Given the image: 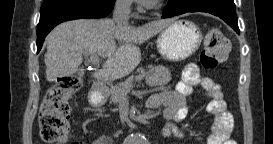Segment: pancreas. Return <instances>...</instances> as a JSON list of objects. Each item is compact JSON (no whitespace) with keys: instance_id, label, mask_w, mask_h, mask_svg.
<instances>
[{"instance_id":"1","label":"pancreas","mask_w":273,"mask_h":144,"mask_svg":"<svg viewBox=\"0 0 273 144\" xmlns=\"http://www.w3.org/2000/svg\"><path fill=\"white\" fill-rule=\"evenodd\" d=\"M140 75H144L146 83L149 86L165 85L171 80V72L162 65L151 66L147 70L141 72ZM140 75L130 76L126 81L113 87L110 101L114 104L124 101L128 97L127 95L132 90L135 82L139 80Z\"/></svg>"}]
</instances>
